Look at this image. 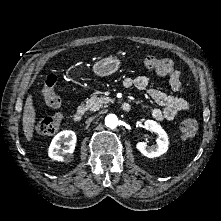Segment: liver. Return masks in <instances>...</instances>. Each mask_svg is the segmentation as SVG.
I'll list each match as a JSON object with an SVG mask.
<instances>
[{
  "label": "liver",
  "instance_id": "liver-1",
  "mask_svg": "<svg viewBox=\"0 0 221 221\" xmlns=\"http://www.w3.org/2000/svg\"><path fill=\"white\" fill-rule=\"evenodd\" d=\"M35 116L36 112L33 106L32 95L29 94L25 102L22 119L24 135L28 141H30L33 136L34 124L36 122Z\"/></svg>",
  "mask_w": 221,
  "mask_h": 221
}]
</instances>
